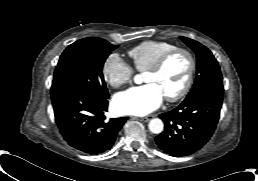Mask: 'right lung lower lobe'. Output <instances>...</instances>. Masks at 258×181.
I'll return each instance as SVG.
<instances>
[{
  "label": "right lung lower lobe",
  "mask_w": 258,
  "mask_h": 181,
  "mask_svg": "<svg viewBox=\"0 0 258 181\" xmlns=\"http://www.w3.org/2000/svg\"><path fill=\"white\" fill-rule=\"evenodd\" d=\"M55 120L68 144L97 155L109 150L127 117L105 121L108 101L99 100L66 85L51 87Z\"/></svg>",
  "instance_id": "98d812e1"
}]
</instances>
